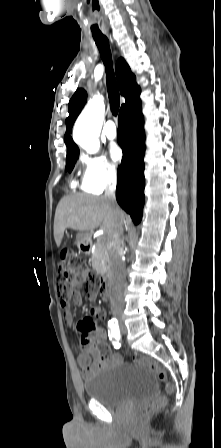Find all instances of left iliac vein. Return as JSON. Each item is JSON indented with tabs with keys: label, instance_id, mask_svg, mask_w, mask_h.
Masks as SVG:
<instances>
[{
	"label": "left iliac vein",
	"instance_id": "1",
	"mask_svg": "<svg viewBox=\"0 0 221 448\" xmlns=\"http://www.w3.org/2000/svg\"><path fill=\"white\" fill-rule=\"evenodd\" d=\"M122 333H125V328H122Z\"/></svg>",
	"mask_w": 221,
	"mask_h": 448
}]
</instances>
